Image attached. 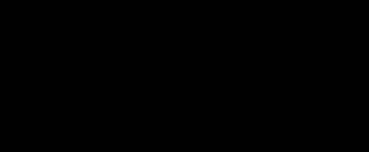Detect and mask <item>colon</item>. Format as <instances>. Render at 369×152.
Segmentation results:
<instances>
[{
  "mask_svg": "<svg viewBox=\"0 0 369 152\" xmlns=\"http://www.w3.org/2000/svg\"><path fill=\"white\" fill-rule=\"evenodd\" d=\"M246 83H249V79H246Z\"/></svg>",
  "mask_w": 369,
  "mask_h": 152,
  "instance_id": "obj_1",
  "label": "colon"
}]
</instances>
